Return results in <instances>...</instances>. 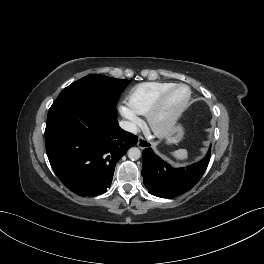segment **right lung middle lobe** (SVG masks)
Returning a JSON list of instances; mask_svg holds the SVG:
<instances>
[{
	"label": "right lung middle lobe",
	"mask_w": 264,
	"mask_h": 264,
	"mask_svg": "<svg viewBox=\"0 0 264 264\" xmlns=\"http://www.w3.org/2000/svg\"><path fill=\"white\" fill-rule=\"evenodd\" d=\"M129 83L103 75H88L62 90L49 109L46 124L72 106L84 102L101 103L115 107L120 94Z\"/></svg>",
	"instance_id": "dd1d6c3e"
}]
</instances>
